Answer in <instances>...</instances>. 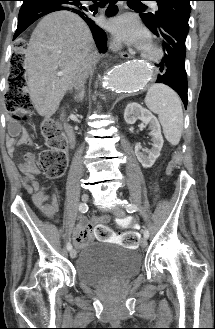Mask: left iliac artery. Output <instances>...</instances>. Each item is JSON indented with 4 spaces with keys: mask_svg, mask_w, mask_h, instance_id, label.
Masks as SVG:
<instances>
[{
    "mask_svg": "<svg viewBox=\"0 0 215 329\" xmlns=\"http://www.w3.org/2000/svg\"><path fill=\"white\" fill-rule=\"evenodd\" d=\"M126 210L128 213H134L138 210V208L135 204H128ZM143 234L145 238L149 237V231L147 229L144 230Z\"/></svg>",
    "mask_w": 215,
    "mask_h": 329,
    "instance_id": "obj_1",
    "label": "left iliac artery"
}]
</instances>
